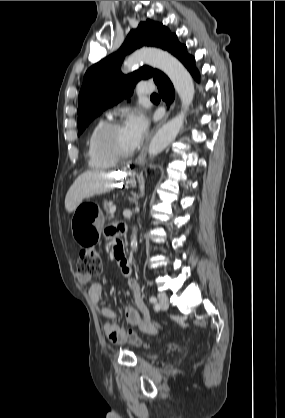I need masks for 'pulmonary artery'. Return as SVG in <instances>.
<instances>
[{
  "mask_svg": "<svg viewBox=\"0 0 285 418\" xmlns=\"http://www.w3.org/2000/svg\"><path fill=\"white\" fill-rule=\"evenodd\" d=\"M154 86L152 85H141L138 88V94L140 95H146V94H150L151 92L154 91Z\"/></svg>",
  "mask_w": 285,
  "mask_h": 418,
  "instance_id": "obj_1",
  "label": "pulmonary artery"
}]
</instances>
